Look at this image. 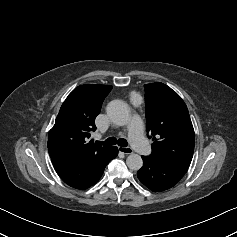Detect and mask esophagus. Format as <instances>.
Wrapping results in <instances>:
<instances>
[{
  "label": "esophagus",
  "instance_id": "1",
  "mask_svg": "<svg viewBox=\"0 0 237 237\" xmlns=\"http://www.w3.org/2000/svg\"><path fill=\"white\" fill-rule=\"evenodd\" d=\"M119 152L129 155L133 153V150L130 147H118Z\"/></svg>",
  "mask_w": 237,
  "mask_h": 237
}]
</instances>
